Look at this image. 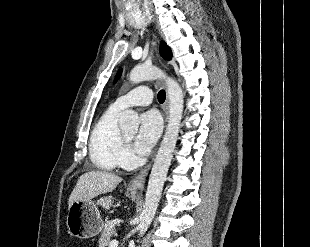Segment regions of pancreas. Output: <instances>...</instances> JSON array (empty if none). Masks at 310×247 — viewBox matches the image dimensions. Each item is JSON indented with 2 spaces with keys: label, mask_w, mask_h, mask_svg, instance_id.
<instances>
[{
  "label": "pancreas",
  "mask_w": 310,
  "mask_h": 247,
  "mask_svg": "<svg viewBox=\"0 0 310 247\" xmlns=\"http://www.w3.org/2000/svg\"><path fill=\"white\" fill-rule=\"evenodd\" d=\"M114 223L112 221H107L104 225V229L101 232V237L99 239V247H107L112 241V236L115 235Z\"/></svg>",
  "instance_id": "obj_1"
}]
</instances>
